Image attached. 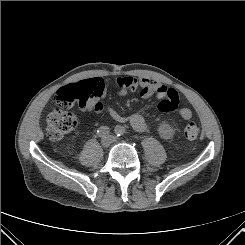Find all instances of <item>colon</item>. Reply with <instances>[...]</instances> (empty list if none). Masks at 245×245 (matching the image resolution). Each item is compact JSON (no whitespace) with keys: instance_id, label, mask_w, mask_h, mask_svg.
Here are the masks:
<instances>
[{"instance_id":"5ec220e1","label":"colon","mask_w":245,"mask_h":245,"mask_svg":"<svg viewBox=\"0 0 245 245\" xmlns=\"http://www.w3.org/2000/svg\"><path fill=\"white\" fill-rule=\"evenodd\" d=\"M98 95L96 82L90 79L72 83L57 91L58 107L53 109L47 118V134L52 140H59L75 129L78 123L77 116L68 110L74 103L84 106ZM184 136L193 140L199 135L200 129L195 122H189L184 127Z\"/></svg>"}]
</instances>
